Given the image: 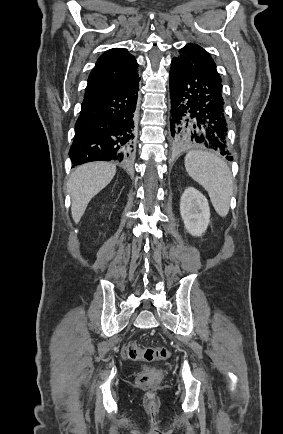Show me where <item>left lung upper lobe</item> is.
<instances>
[{
  "label": "left lung upper lobe",
  "mask_w": 283,
  "mask_h": 434,
  "mask_svg": "<svg viewBox=\"0 0 283 434\" xmlns=\"http://www.w3.org/2000/svg\"><path fill=\"white\" fill-rule=\"evenodd\" d=\"M188 65L202 71L219 81L221 77L216 70V64L207 51L197 44L189 43L179 50V55L174 57Z\"/></svg>",
  "instance_id": "obj_1"
}]
</instances>
